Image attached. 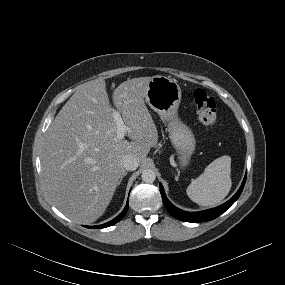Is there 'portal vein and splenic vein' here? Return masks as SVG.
<instances>
[{"label":"portal vein and splenic vein","instance_id":"18ae733b","mask_svg":"<svg viewBox=\"0 0 285 285\" xmlns=\"http://www.w3.org/2000/svg\"><path fill=\"white\" fill-rule=\"evenodd\" d=\"M112 116L116 125V137L117 139L122 140L125 133L129 131V128L124 124L123 119L117 110L112 111Z\"/></svg>","mask_w":285,"mask_h":285}]
</instances>
